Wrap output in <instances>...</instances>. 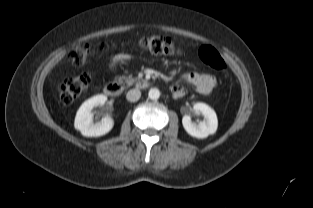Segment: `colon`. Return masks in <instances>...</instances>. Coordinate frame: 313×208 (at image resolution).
<instances>
[{"label":"colon","instance_id":"colon-1","mask_svg":"<svg viewBox=\"0 0 313 208\" xmlns=\"http://www.w3.org/2000/svg\"><path fill=\"white\" fill-rule=\"evenodd\" d=\"M136 45L142 50L148 51L154 55H173L182 53L179 45L168 38L159 36L143 37L136 42ZM114 43L103 44L100 49L102 51L109 50L114 47ZM93 50L89 44H79L70 51V58L75 65H83L86 63ZM201 60L219 71L222 76L227 77V65L221 55L210 46H203L199 50ZM91 83V75L84 73L65 79L59 84V99L62 104H70L83 95Z\"/></svg>","mask_w":313,"mask_h":208}]
</instances>
